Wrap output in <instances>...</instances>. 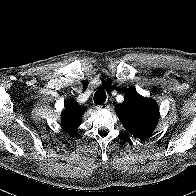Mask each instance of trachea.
Returning a JSON list of instances; mask_svg holds the SVG:
<instances>
[{
    "label": "trachea",
    "instance_id": "obj_1",
    "mask_svg": "<svg viewBox=\"0 0 196 196\" xmlns=\"http://www.w3.org/2000/svg\"><path fill=\"white\" fill-rule=\"evenodd\" d=\"M106 101V93L103 89H98L94 94V103L103 104Z\"/></svg>",
    "mask_w": 196,
    "mask_h": 196
}]
</instances>
